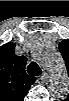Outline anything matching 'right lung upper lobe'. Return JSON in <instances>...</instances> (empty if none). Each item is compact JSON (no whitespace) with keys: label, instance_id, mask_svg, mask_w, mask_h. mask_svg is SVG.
Returning <instances> with one entry per match:
<instances>
[{"label":"right lung upper lobe","instance_id":"obj_1","mask_svg":"<svg viewBox=\"0 0 69 101\" xmlns=\"http://www.w3.org/2000/svg\"><path fill=\"white\" fill-rule=\"evenodd\" d=\"M17 60L16 66H11V63L8 68L7 64V68L3 70L2 95L8 96L10 99L23 97L32 84V79L26 77L23 72V59L18 58ZM10 73H12V75H10Z\"/></svg>","mask_w":69,"mask_h":101}]
</instances>
